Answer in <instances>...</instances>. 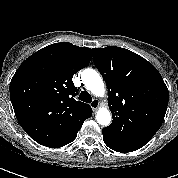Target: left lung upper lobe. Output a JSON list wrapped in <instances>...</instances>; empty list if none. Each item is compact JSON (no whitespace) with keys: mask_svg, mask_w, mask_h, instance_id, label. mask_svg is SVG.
Listing matches in <instances>:
<instances>
[{"mask_svg":"<svg viewBox=\"0 0 178 178\" xmlns=\"http://www.w3.org/2000/svg\"><path fill=\"white\" fill-rule=\"evenodd\" d=\"M93 61L108 88L113 121L102 132L141 148L161 127L169 94L158 70L136 53L116 46L93 49Z\"/></svg>","mask_w":178,"mask_h":178,"instance_id":"obj_1","label":"left lung upper lobe"}]
</instances>
